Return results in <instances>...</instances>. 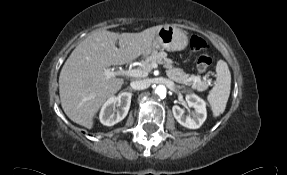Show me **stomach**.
<instances>
[{
	"label": "stomach",
	"mask_w": 287,
	"mask_h": 175,
	"mask_svg": "<svg viewBox=\"0 0 287 175\" xmlns=\"http://www.w3.org/2000/svg\"><path fill=\"white\" fill-rule=\"evenodd\" d=\"M188 37L185 32L173 25H161L156 32L152 46L144 54L148 55L150 50L181 51L186 48Z\"/></svg>",
	"instance_id": "1"
}]
</instances>
